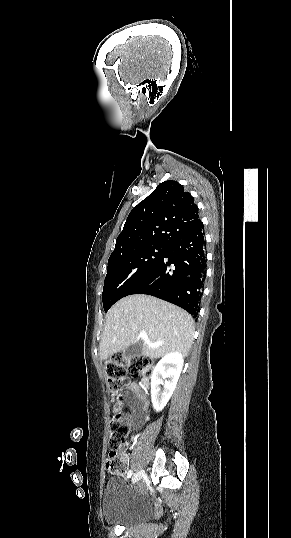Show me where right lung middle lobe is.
Returning <instances> with one entry per match:
<instances>
[{
  "instance_id": "1",
  "label": "right lung middle lobe",
  "mask_w": 291,
  "mask_h": 538,
  "mask_svg": "<svg viewBox=\"0 0 291 538\" xmlns=\"http://www.w3.org/2000/svg\"><path fill=\"white\" fill-rule=\"evenodd\" d=\"M168 245L139 248L108 260L102 300L105 312L130 293L150 274L162 259Z\"/></svg>"
}]
</instances>
